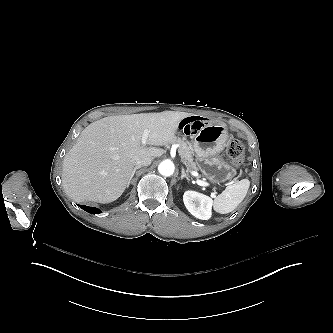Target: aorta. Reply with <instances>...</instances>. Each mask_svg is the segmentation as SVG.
Instances as JSON below:
<instances>
[{
  "instance_id": "aorta-1",
  "label": "aorta",
  "mask_w": 333,
  "mask_h": 333,
  "mask_svg": "<svg viewBox=\"0 0 333 333\" xmlns=\"http://www.w3.org/2000/svg\"><path fill=\"white\" fill-rule=\"evenodd\" d=\"M158 171L162 176L169 177L173 175L175 166L170 160H164L158 166Z\"/></svg>"
}]
</instances>
